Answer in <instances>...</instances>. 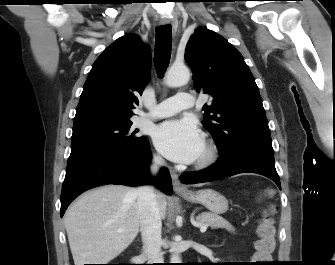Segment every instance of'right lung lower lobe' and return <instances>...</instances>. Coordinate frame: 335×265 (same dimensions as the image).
<instances>
[{"instance_id": "1", "label": "right lung lower lobe", "mask_w": 335, "mask_h": 265, "mask_svg": "<svg viewBox=\"0 0 335 265\" xmlns=\"http://www.w3.org/2000/svg\"><path fill=\"white\" fill-rule=\"evenodd\" d=\"M151 160L148 140L136 150L124 152H88L68 159L61 192V217L69 204L81 193L106 184L138 186L150 181ZM154 184L167 194L172 192V181L166 168L160 171Z\"/></svg>"}]
</instances>
